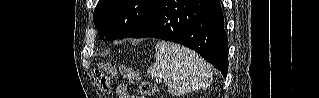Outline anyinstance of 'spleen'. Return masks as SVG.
Returning a JSON list of instances; mask_svg holds the SVG:
<instances>
[{"instance_id":"obj_1","label":"spleen","mask_w":319,"mask_h":98,"mask_svg":"<svg viewBox=\"0 0 319 98\" xmlns=\"http://www.w3.org/2000/svg\"><path fill=\"white\" fill-rule=\"evenodd\" d=\"M156 62L147 73L168 85V91L179 96L205 89L212 81L211 66L194 51L177 44L160 41L155 47Z\"/></svg>"}]
</instances>
